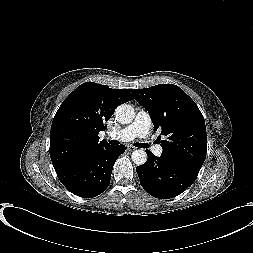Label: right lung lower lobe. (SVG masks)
Listing matches in <instances>:
<instances>
[{"instance_id": "obj_1", "label": "right lung lower lobe", "mask_w": 253, "mask_h": 253, "mask_svg": "<svg viewBox=\"0 0 253 253\" xmlns=\"http://www.w3.org/2000/svg\"><path fill=\"white\" fill-rule=\"evenodd\" d=\"M124 145H108L93 152L83 160L55 170L61 183L73 194L92 198L101 194L109 185L112 168Z\"/></svg>"}]
</instances>
